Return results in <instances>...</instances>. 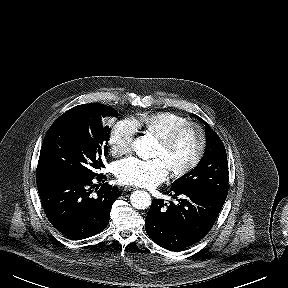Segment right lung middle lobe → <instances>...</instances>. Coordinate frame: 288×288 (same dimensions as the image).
<instances>
[{
	"label": "right lung middle lobe",
	"mask_w": 288,
	"mask_h": 288,
	"mask_svg": "<svg viewBox=\"0 0 288 288\" xmlns=\"http://www.w3.org/2000/svg\"><path fill=\"white\" fill-rule=\"evenodd\" d=\"M110 117H118L116 110L103 104L78 105L62 114L45 135L37 179L66 176L92 180L95 171L104 167Z\"/></svg>",
	"instance_id": "obj_1"
}]
</instances>
